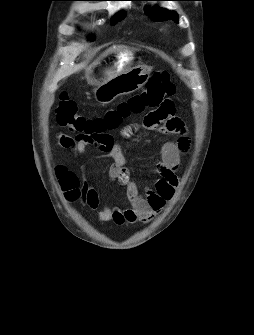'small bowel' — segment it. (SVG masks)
I'll return each instance as SVG.
<instances>
[{"label": "small bowel", "instance_id": "small-bowel-1", "mask_svg": "<svg viewBox=\"0 0 254 335\" xmlns=\"http://www.w3.org/2000/svg\"><path fill=\"white\" fill-rule=\"evenodd\" d=\"M162 104L156 108H149L143 121V128L149 132H157L163 135H178L176 142H164L161 145L160 160L157 164L159 179L153 189L142 195L131 177L129 168L126 166V157L120 144L112 138L111 146L104 156L97 158H108L112 162L109 166L108 175L112 181L126 187V199L129 207L120 209L111 207L101 202L97 192L90 188L87 183L80 187L79 176L64 166L57 168V177L66 198L69 201L81 197L82 202L91 209H97V218L100 222L113 221L116 224L149 222L152 217L160 212L166 203L170 201L178 185L177 169L182 155L188 150L190 141L186 135V127L182 120L175 117L176 105L171 98H162ZM138 120H129L126 125L127 131H119V138H128L133 127H138ZM59 144L75 154H82L89 143L78 137L63 135L58 137ZM82 177L86 175L87 165L80 167ZM77 192L79 195L77 196Z\"/></svg>", "mask_w": 254, "mask_h": 335}]
</instances>
